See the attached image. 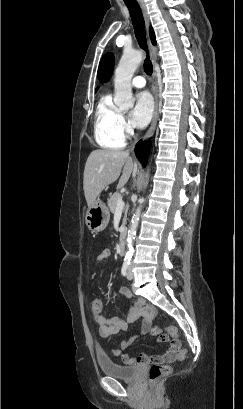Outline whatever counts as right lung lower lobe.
Segmentation results:
<instances>
[{
    "mask_svg": "<svg viewBox=\"0 0 243 409\" xmlns=\"http://www.w3.org/2000/svg\"><path fill=\"white\" fill-rule=\"evenodd\" d=\"M150 141H139L135 147V154L143 166H146L150 151Z\"/></svg>",
    "mask_w": 243,
    "mask_h": 409,
    "instance_id": "98d812e1",
    "label": "right lung lower lobe"
}]
</instances>
